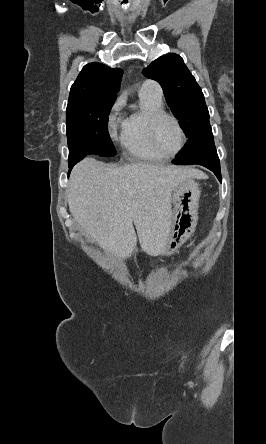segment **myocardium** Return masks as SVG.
I'll return each mask as SVG.
<instances>
[{
	"label": "myocardium",
	"instance_id": "obj_1",
	"mask_svg": "<svg viewBox=\"0 0 266 444\" xmlns=\"http://www.w3.org/2000/svg\"><path fill=\"white\" fill-rule=\"evenodd\" d=\"M164 118H169L171 119L177 126L179 134H180V144L179 147L177 148L176 151H174L173 153H164L160 147L158 146L157 140H156V129L157 126L159 124V122L164 119ZM148 137L150 140V143L153 147V149L159 153L160 155L164 156V157H169V156H174L179 154L185 147L186 145V134L185 131L183 129V126L180 122V120L173 114L166 112L164 110L158 111L153 113L148 120Z\"/></svg>",
	"mask_w": 266,
	"mask_h": 444
}]
</instances>
